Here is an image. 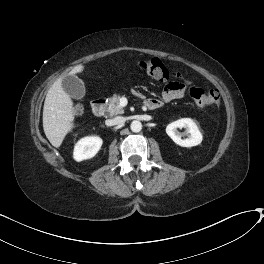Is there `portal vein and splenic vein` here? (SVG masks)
I'll list each match as a JSON object with an SVG mask.
<instances>
[{
    "label": "portal vein and splenic vein",
    "instance_id": "1",
    "mask_svg": "<svg viewBox=\"0 0 264 264\" xmlns=\"http://www.w3.org/2000/svg\"><path fill=\"white\" fill-rule=\"evenodd\" d=\"M120 107H125L127 105V99L126 98H121L119 101Z\"/></svg>",
    "mask_w": 264,
    "mask_h": 264
}]
</instances>
